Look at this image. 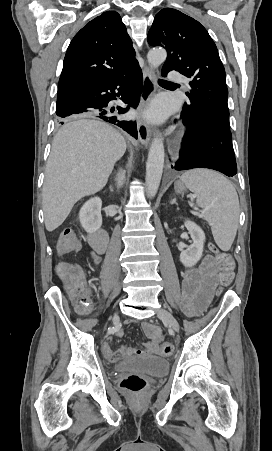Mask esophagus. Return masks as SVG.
<instances>
[{
  "label": "esophagus",
  "mask_w": 272,
  "mask_h": 451,
  "mask_svg": "<svg viewBox=\"0 0 272 451\" xmlns=\"http://www.w3.org/2000/svg\"><path fill=\"white\" fill-rule=\"evenodd\" d=\"M157 83H156V74L152 68L144 67L143 69V84H142V92L141 99L138 106V111L142 112L145 110L154 93L156 92ZM137 130H138V139L144 146H148L150 143L152 129L143 118H138L137 120Z\"/></svg>",
  "instance_id": "esophagus-1"
}]
</instances>
